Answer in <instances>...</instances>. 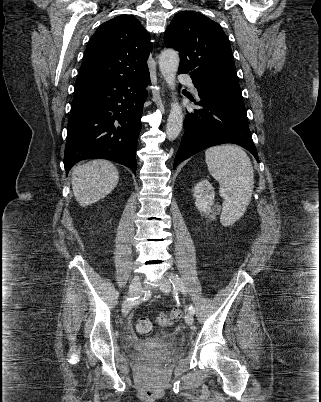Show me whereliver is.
Returning a JSON list of instances; mask_svg holds the SVG:
<instances>
[{
    "instance_id": "obj_1",
    "label": "liver",
    "mask_w": 321,
    "mask_h": 402,
    "mask_svg": "<svg viewBox=\"0 0 321 402\" xmlns=\"http://www.w3.org/2000/svg\"><path fill=\"white\" fill-rule=\"evenodd\" d=\"M116 167L106 160H92L72 172V189L76 201L88 206L107 196L118 184Z\"/></svg>"
}]
</instances>
